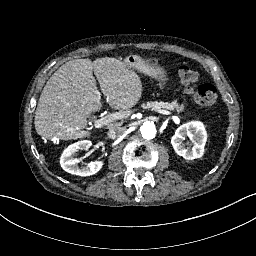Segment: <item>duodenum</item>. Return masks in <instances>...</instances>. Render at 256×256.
I'll return each instance as SVG.
<instances>
[{"instance_id":"obj_1","label":"duodenum","mask_w":256,"mask_h":256,"mask_svg":"<svg viewBox=\"0 0 256 256\" xmlns=\"http://www.w3.org/2000/svg\"><path fill=\"white\" fill-rule=\"evenodd\" d=\"M124 64L127 68L141 71L147 76L152 75L155 71V67L152 63L146 60H140V58L136 55L127 57L124 61Z\"/></svg>"}]
</instances>
